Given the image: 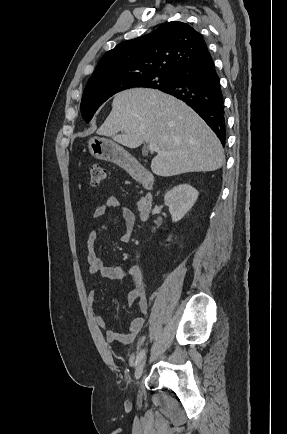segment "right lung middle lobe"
Here are the masks:
<instances>
[{"instance_id":"dd1d6c3e","label":"right lung middle lobe","mask_w":287,"mask_h":434,"mask_svg":"<svg viewBox=\"0 0 287 434\" xmlns=\"http://www.w3.org/2000/svg\"><path fill=\"white\" fill-rule=\"evenodd\" d=\"M176 76L145 74L135 77H115L88 82L81 101V113L89 122L97 109L111 96L125 89L135 87H149L166 89L171 87Z\"/></svg>"}]
</instances>
